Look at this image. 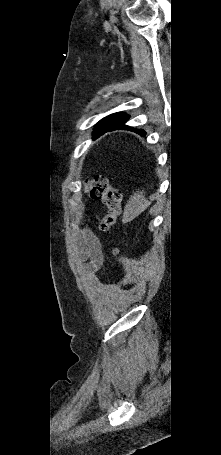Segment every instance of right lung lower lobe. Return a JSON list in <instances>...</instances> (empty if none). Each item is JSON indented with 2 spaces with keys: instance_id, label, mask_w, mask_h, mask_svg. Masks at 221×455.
I'll return each mask as SVG.
<instances>
[{
  "instance_id": "obj_1",
  "label": "right lung lower lobe",
  "mask_w": 221,
  "mask_h": 455,
  "mask_svg": "<svg viewBox=\"0 0 221 455\" xmlns=\"http://www.w3.org/2000/svg\"><path fill=\"white\" fill-rule=\"evenodd\" d=\"M128 116H124L117 124H115L114 126H112L111 128H109L107 131H112V130H115V129H129L128 126L124 125L125 121L127 120ZM133 131H136V132H139L140 134H144L143 131H137V130H134L132 129Z\"/></svg>"
}]
</instances>
